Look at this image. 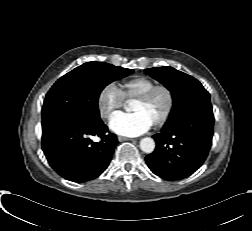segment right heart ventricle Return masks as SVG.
Returning <instances> with one entry per match:
<instances>
[{"instance_id": "obj_1", "label": "right heart ventricle", "mask_w": 252, "mask_h": 231, "mask_svg": "<svg viewBox=\"0 0 252 231\" xmlns=\"http://www.w3.org/2000/svg\"><path fill=\"white\" fill-rule=\"evenodd\" d=\"M156 85V81L146 76H135L122 82L123 98H136Z\"/></svg>"}]
</instances>
